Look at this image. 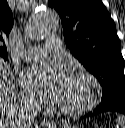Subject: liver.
I'll return each mask as SVG.
<instances>
[{
  "label": "liver",
  "instance_id": "1",
  "mask_svg": "<svg viewBox=\"0 0 125 128\" xmlns=\"http://www.w3.org/2000/svg\"><path fill=\"white\" fill-rule=\"evenodd\" d=\"M20 124V110L16 105L15 84L0 65V128H18Z\"/></svg>",
  "mask_w": 125,
  "mask_h": 128
}]
</instances>
